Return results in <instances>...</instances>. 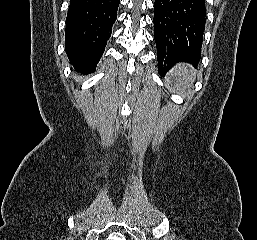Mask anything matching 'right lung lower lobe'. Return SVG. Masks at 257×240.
I'll return each mask as SVG.
<instances>
[{
    "label": "right lung lower lobe",
    "mask_w": 257,
    "mask_h": 240,
    "mask_svg": "<svg viewBox=\"0 0 257 240\" xmlns=\"http://www.w3.org/2000/svg\"><path fill=\"white\" fill-rule=\"evenodd\" d=\"M120 0H70L65 49L79 67L93 71L117 19Z\"/></svg>",
    "instance_id": "1"
}]
</instances>
